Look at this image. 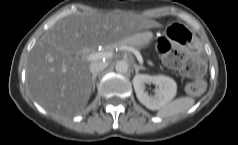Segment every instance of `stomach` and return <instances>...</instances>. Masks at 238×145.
Masks as SVG:
<instances>
[{
	"label": "stomach",
	"instance_id": "stomach-1",
	"mask_svg": "<svg viewBox=\"0 0 238 145\" xmlns=\"http://www.w3.org/2000/svg\"><path fill=\"white\" fill-rule=\"evenodd\" d=\"M166 35L176 45L191 53L201 50L202 44L198 34L191 31L182 22H171L166 28Z\"/></svg>",
	"mask_w": 238,
	"mask_h": 145
}]
</instances>
